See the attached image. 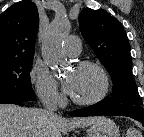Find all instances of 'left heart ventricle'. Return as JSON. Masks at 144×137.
Segmentation results:
<instances>
[{"mask_svg": "<svg viewBox=\"0 0 144 137\" xmlns=\"http://www.w3.org/2000/svg\"><path fill=\"white\" fill-rule=\"evenodd\" d=\"M73 78L74 89L72 96L79 100L95 97L102 88V80L97 71L91 68L71 69L67 78Z\"/></svg>", "mask_w": 144, "mask_h": 137, "instance_id": "left-heart-ventricle-1", "label": "left heart ventricle"}]
</instances>
